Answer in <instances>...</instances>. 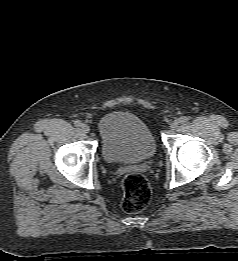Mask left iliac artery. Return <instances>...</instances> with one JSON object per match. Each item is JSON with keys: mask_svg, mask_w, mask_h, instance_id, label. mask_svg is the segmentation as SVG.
<instances>
[{"mask_svg": "<svg viewBox=\"0 0 238 261\" xmlns=\"http://www.w3.org/2000/svg\"><path fill=\"white\" fill-rule=\"evenodd\" d=\"M187 121H188V118L185 117V116H182V117L179 118L180 123H186Z\"/></svg>", "mask_w": 238, "mask_h": 261, "instance_id": "left-iliac-artery-1", "label": "left iliac artery"}]
</instances>
